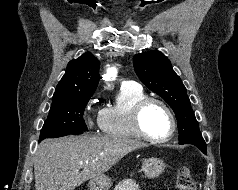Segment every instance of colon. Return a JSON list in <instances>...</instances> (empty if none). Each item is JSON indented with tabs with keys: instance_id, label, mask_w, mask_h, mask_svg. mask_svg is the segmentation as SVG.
<instances>
[{
	"instance_id": "1",
	"label": "colon",
	"mask_w": 238,
	"mask_h": 190,
	"mask_svg": "<svg viewBox=\"0 0 238 190\" xmlns=\"http://www.w3.org/2000/svg\"><path fill=\"white\" fill-rule=\"evenodd\" d=\"M173 190H195L194 178L187 167L179 169Z\"/></svg>"
}]
</instances>
